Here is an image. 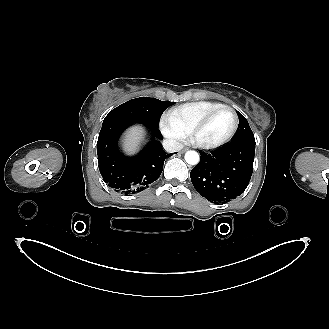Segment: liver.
<instances>
[{
  "mask_svg": "<svg viewBox=\"0 0 329 329\" xmlns=\"http://www.w3.org/2000/svg\"><path fill=\"white\" fill-rule=\"evenodd\" d=\"M143 139L142 128L136 126L132 127L124 137L123 148L126 153L133 154L139 148V145Z\"/></svg>",
  "mask_w": 329,
  "mask_h": 329,
  "instance_id": "liver-1",
  "label": "liver"
}]
</instances>
